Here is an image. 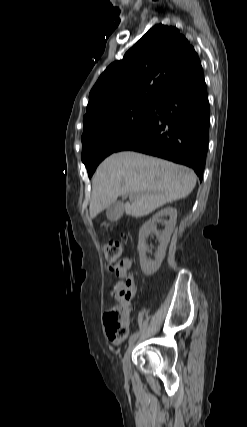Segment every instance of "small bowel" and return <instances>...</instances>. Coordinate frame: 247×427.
<instances>
[{
    "label": "small bowel",
    "mask_w": 247,
    "mask_h": 427,
    "mask_svg": "<svg viewBox=\"0 0 247 427\" xmlns=\"http://www.w3.org/2000/svg\"><path fill=\"white\" fill-rule=\"evenodd\" d=\"M132 264V258L125 257L108 267L117 277V280L113 284L112 297L118 303L130 300L136 293L137 285L134 277L129 273Z\"/></svg>",
    "instance_id": "obj_1"
}]
</instances>
